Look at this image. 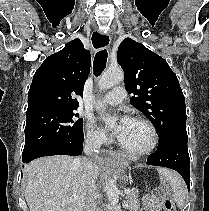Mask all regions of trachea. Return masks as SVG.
<instances>
[{"mask_svg":"<svg viewBox=\"0 0 209 211\" xmlns=\"http://www.w3.org/2000/svg\"><path fill=\"white\" fill-rule=\"evenodd\" d=\"M107 57H108V53L106 49L99 51L95 55V58L93 61V71H94L95 76L100 75V73L105 69Z\"/></svg>","mask_w":209,"mask_h":211,"instance_id":"3493384b","label":"trachea"}]
</instances>
